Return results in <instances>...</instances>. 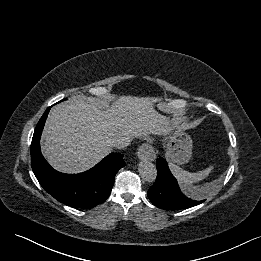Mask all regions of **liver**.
<instances>
[{
  "label": "liver",
  "instance_id": "obj_1",
  "mask_svg": "<svg viewBox=\"0 0 261 261\" xmlns=\"http://www.w3.org/2000/svg\"><path fill=\"white\" fill-rule=\"evenodd\" d=\"M159 98L119 96L102 109L82 97L61 103L49 113L42 135V151L49 164L66 173L83 172L112 152L119 138L168 133L167 117L155 110Z\"/></svg>",
  "mask_w": 261,
  "mask_h": 261
}]
</instances>
